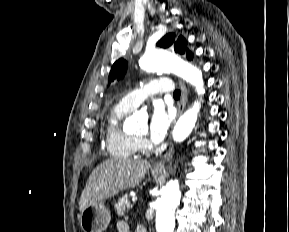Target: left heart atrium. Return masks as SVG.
Listing matches in <instances>:
<instances>
[{
	"label": "left heart atrium",
	"instance_id": "39dd6f15",
	"mask_svg": "<svg viewBox=\"0 0 289 232\" xmlns=\"http://www.w3.org/2000/svg\"><path fill=\"white\" fill-rule=\"evenodd\" d=\"M172 118V114L168 113L161 104L153 106L148 125L149 137L152 142L160 143L165 139Z\"/></svg>",
	"mask_w": 289,
	"mask_h": 232
}]
</instances>
